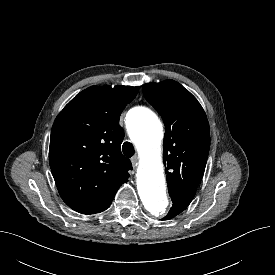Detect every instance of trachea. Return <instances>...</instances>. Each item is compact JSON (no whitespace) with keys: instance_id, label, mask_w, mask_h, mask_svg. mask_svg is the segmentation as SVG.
<instances>
[{"instance_id":"3493384b","label":"trachea","mask_w":275,"mask_h":275,"mask_svg":"<svg viewBox=\"0 0 275 275\" xmlns=\"http://www.w3.org/2000/svg\"><path fill=\"white\" fill-rule=\"evenodd\" d=\"M122 150H123L124 155L127 157H131L135 153L134 147L130 142H124V144L122 146Z\"/></svg>"}]
</instances>
